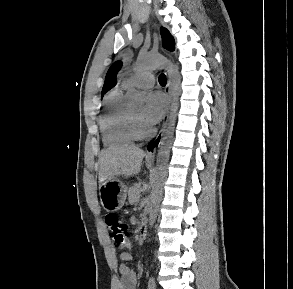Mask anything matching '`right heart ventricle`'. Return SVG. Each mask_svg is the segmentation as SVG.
I'll list each match as a JSON object with an SVG mask.
<instances>
[{"label": "right heart ventricle", "mask_w": 293, "mask_h": 289, "mask_svg": "<svg viewBox=\"0 0 293 289\" xmlns=\"http://www.w3.org/2000/svg\"><path fill=\"white\" fill-rule=\"evenodd\" d=\"M123 91L124 87L115 88L104 99L100 126L106 146H122L134 141L130 130V111L124 103Z\"/></svg>", "instance_id": "obj_1"}]
</instances>
